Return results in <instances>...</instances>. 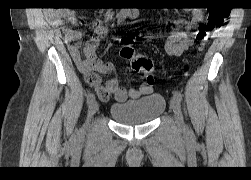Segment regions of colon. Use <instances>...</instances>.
Masks as SVG:
<instances>
[{
	"label": "colon",
	"mask_w": 251,
	"mask_h": 180,
	"mask_svg": "<svg viewBox=\"0 0 251 180\" xmlns=\"http://www.w3.org/2000/svg\"><path fill=\"white\" fill-rule=\"evenodd\" d=\"M228 9L213 8L209 10L207 21L196 32L195 38L198 42L196 56L204 49L210 34L220 28L228 19ZM136 35L134 33L121 36L118 41L121 44L120 55L131 62L132 69L142 76L146 83L152 84L154 80V66L152 60L134 51L133 43ZM189 65L185 70L188 71Z\"/></svg>",
	"instance_id": "obj_1"
}]
</instances>
